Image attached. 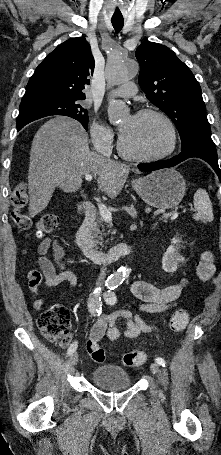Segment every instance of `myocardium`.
Instances as JSON below:
<instances>
[{
	"label": "myocardium",
	"mask_w": 221,
	"mask_h": 455,
	"mask_svg": "<svg viewBox=\"0 0 221 455\" xmlns=\"http://www.w3.org/2000/svg\"><path fill=\"white\" fill-rule=\"evenodd\" d=\"M148 115L157 116L166 125L168 132H169V138H170L169 146L165 150H163L159 153L149 154V155H139V154H134L132 152L127 151L123 145L121 136H119L118 141H117V149H118L119 154L121 156H123L124 158L131 160V161H137V162H154V161L164 159L165 157L171 155L175 151L176 146H177V131H176V127H175L173 121L170 119V117L167 114H165L163 111L156 109V108L141 109L133 117H144V116H148Z\"/></svg>",
	"instance_id": "1"
}]
</instances>
